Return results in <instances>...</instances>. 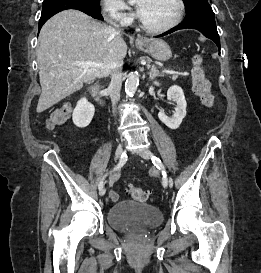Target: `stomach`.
<instances>
[{
	"label": "stomach",
	"instance_id": "1",
	"mask_svg": "<svg viewBox=\"0 0 261 273\" xmlns=\"http://www.w3.org/2000/svg\"><path fill=\"white\" fill-rule=\"evenodd\" d=\"M136 46L159 61H167L172 56L169 45L161 39H155L152 41H137Z\"/></svg>",
	"mask_w": 261,
	"mask_h": 273
}]
</instances>
